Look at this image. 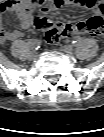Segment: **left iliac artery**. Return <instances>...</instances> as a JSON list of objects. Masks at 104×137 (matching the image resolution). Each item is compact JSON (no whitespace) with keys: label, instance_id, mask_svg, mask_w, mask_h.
Listing matches in <instances>:
<instances>
[{"label":"left iliac artery","instance_id":"left-iliac-artery-1","mask_svg":"<svg viewBox=\"0 0 104 137\" xmlns=\"http://www.w3.org/2000/svg\"><path fill=\"white\" fill-rule=\"evenodd\" d=\"M78 43H79V41H78L77 39H75V40L72 41V44H73L74 46H77Z\"/></svg>","mask_w":104,"mask_h":137}]
</instances>
